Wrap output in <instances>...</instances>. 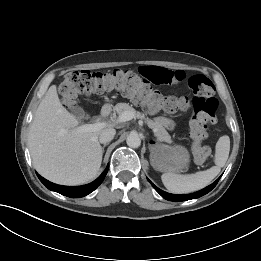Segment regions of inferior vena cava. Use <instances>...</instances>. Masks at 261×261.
Masks as SVG:
<instances>
[{"label":"inferior vena cava","instance_id":"602c4592","mask_svg":"<svg viewBox=\"0 0 261 261\" xmlns=\"http://www.w3.org/2000/svg\"><path fill=\"white\" fill-rule=\"evenodd\" d=\"M115 134L116 130L114 128L103 129L99 135V142L107 144L114 138Z\"/></svg>","mask_w":261,"mask_h":261}]
</instances>
